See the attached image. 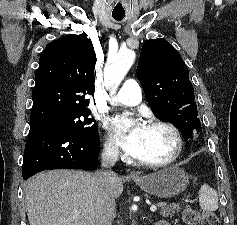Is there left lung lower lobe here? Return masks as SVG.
<instances>
[{
	"instance_id": "0a47b994",
	"label": "left lung lower lobe",
	"mask_w": 237,
	"mask_h": 225,
	"mask_svg": "<svg viewBox=\"0 0 237 225\" xmlns=\"http://www.w3.org/2000/svg\"><path fill=\"white\" fill-rule=\"evenodd\" d=\"M200 121L198 120L193 127L183 134L184 140H189L192 136L200 131Z\"/></svg>"
}]
</instances>
